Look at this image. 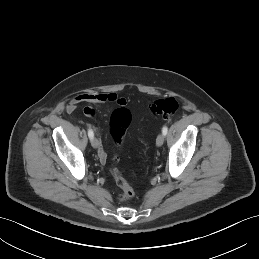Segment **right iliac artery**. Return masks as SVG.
Instances as JSON below:
<instances>
[{
    "label": "right iliac artery",
    "instance_id": "1",
    "mask_svg": "<svg viewBox=\"0 0 259 259\" xmlns=\"http://www.w3.org/2000/svg\"><path fill=\"white\" fill-rule=\"evenodd\" d=\"M88 136L90 139H92L94 137V133L91 129L88 130Z\"/></svg>",
    "mask_w": 259,
    "mask_h": 259
}]
</instances>
